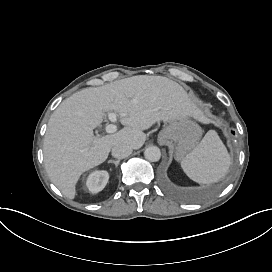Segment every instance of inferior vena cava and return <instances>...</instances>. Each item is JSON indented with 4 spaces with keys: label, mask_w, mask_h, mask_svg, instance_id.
<instances>
[{
    "label": "inferior vena cava",
    "mask_w": 272,
    "mask_h": 272,
    "mask_svg": "<svg viewBox=\"0 0 272 272\" xmlns=\"http://www.w3.org/2000/svg\"><path fill=\"white\" fill-rule=\"evenodd\" d=\"M131 153L132 147L124 143H118L112 147V156L118 159H123Z\"/></svg>",
    "instance_id": "1"
}]
</instances>
